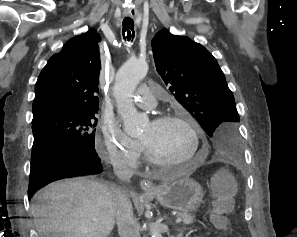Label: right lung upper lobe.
Wrapping results in <instances>:
<instances>
[{"instance_id": "right-lung-upper-lobe-1", "label": "right lung upper lobe", "mask_w": 297, "mask_h": 237, "mask_svg": "<svg viewBox=\"0 0 297 237\" xmlns=\"http://www.w3.org/2000/svg\"><path fill=\"white\" fill-rule=\"evenodd\" d=\"M100 40L94 30H89L49 59L35 85L32 122L58 112H97Z\"/></svg>"}]
</instances>
